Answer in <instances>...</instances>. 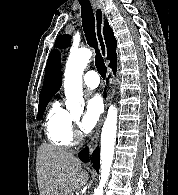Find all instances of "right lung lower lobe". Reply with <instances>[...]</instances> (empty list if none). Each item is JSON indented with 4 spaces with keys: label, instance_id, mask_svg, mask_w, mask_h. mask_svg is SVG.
Returning a JSON list of instances; mask_svg holds the SVG:
<instances>
[{
    "label": "right lung lower lobe",
    "instance_id": "98d812e1",
    "mask_svg": "<svg viewBox=\"0 0 178 195\" xmlns=\"http://www.w3.org/2000/svg\"><path fill=\"white\" fill-rule=\"evenodd\" d=\"M113 69L114 74H116V63L110 66ZM88 148H85L83 151H81L78 156L79 158L87 162L88 161ZM91 162L93 163V168L99 172V166H100V151L99 147H97L92 155Z\"/></svg>",
    "mask_w": 178,
    "mask_h": 195
}]
</instances>
